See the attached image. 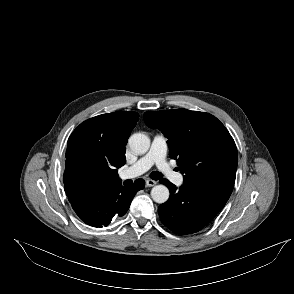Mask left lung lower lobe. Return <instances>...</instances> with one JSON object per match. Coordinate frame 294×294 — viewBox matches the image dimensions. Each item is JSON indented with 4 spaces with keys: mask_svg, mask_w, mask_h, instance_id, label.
Segmentation results:
<instances>
[{
    "mask_svg": "<svg viewBox=\"0 0 294 294\" xmlns=\"http://www.w3.org/2000/svg\"><path fill=\"white\" fill-rule=\"evenodd\" d=\"M168 201L158 207L162 223L178 234H191L205 227L225 206L234 185L215 181L184 184L179 189L167 179Z\"/></svg>",
    "mask_w": 294,
    "mask_h": 294,
    "instance_id": "obj_1",
    "label": "left lung lower lobe"
}]
</instances>
